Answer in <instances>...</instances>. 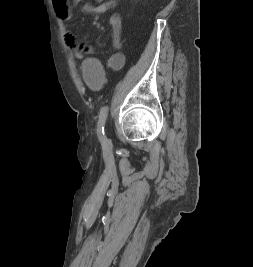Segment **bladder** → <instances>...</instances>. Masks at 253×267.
Returning <instances> with one entry per match:
<instances>
[{
	"instance_id": "1",
	"label": "bladder",
	"mask_w": 253,
	"mask_h": 267,
	"mask_svg": "<svg viewBox=\"0 0 253 267\" xmlns=\"http://www.w3.org/2000/svg\"><path fill=\"white\" fill-rule=\"evenodd\" d=\"M82 75L86 84L92 88H98L101 85L102 65L97 59H86L82 65Z\"/></svg>"
}]
</instances>
